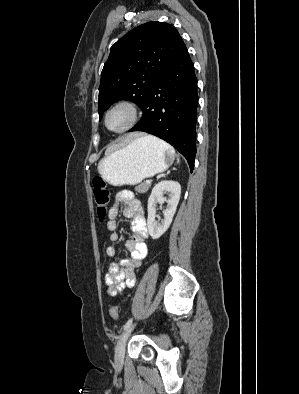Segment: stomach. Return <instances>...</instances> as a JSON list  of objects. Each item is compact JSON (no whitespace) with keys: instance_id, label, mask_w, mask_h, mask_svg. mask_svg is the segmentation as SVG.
Listing matches in <instances>:
<instances>
[{"instance_id":"1","label":"stomach","mask_w":299,"mask_h":394,"mask_svg":"<svg viewBox=\"0 0 299 394\" xmlns=\"http://www.w3.org/2000/svg\"><path fill=\"white\" fill-rule=\"evenodd\" d=\"M173 161L174 154L169 149L145 136L107 154L100 160L98 172L112 185H136L164 172Z\"/></svg>"}]
</instances>
